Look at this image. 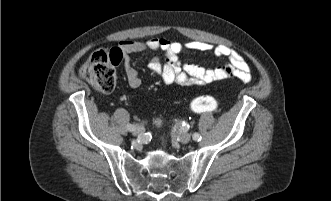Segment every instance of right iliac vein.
Returning a JSON list of instances; mask_svg holds the SVG:
<instances>
[{
  "label": "right iliac vein",
  "instance_id": "63e3f726",
  "mask_svg": "<svg viewBox=\"0 0 331 201\" xmlns=\"http://www.w3.org/2000/svg\"><path fill=\"white\" fill-rule=\"evenodd\" d=\"M143 132H144V128L141 126H138L133 130V135L137 136V135L142 134Z\"/></svg>",
  "mask_w": 331,
  "mask_h": 201
}]
</instances>
